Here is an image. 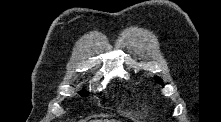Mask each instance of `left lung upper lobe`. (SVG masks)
<instances>
[{
    "label": "left lung upper lobe",
    "mask_w": 221,
    "mask_h": 122,
    "mask_svg": "<svg viewBox=\"0 0 221 122\" xmlns=\"http://www.w3.org/2000/svg\"><path fill=\"white\" fill-rule=\"evenodd\" d=\"M154 79H155L158 83L163 84L162 80H161L158 76H155Z\"/></svg>",
    "instance_id": "1"
}]
</instances>
